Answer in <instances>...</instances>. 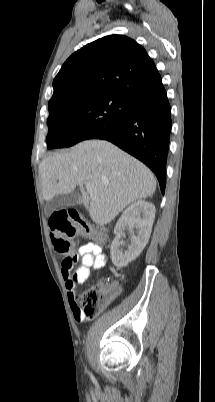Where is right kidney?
<instances>
[{
  "label": "right kidney",
  "instance_id": "obj_1",
  "mask_svg": "<svg viewBox=\"0 0 215 402\" xmlns=\"http://www.w3.org/2000/svg\"><path fill=\"white\" fill-rule=\"evenodd\" d=\"M154 218L155 206L144 200L134 202L123 212L114 228L115 238L110 248L111 259L115 266L126 267L141 254L149 241ZM126 228L135 229L136 235L132 233L131 244L123 250L120 248L123 245L121 238Z\"/></svg>",
  "mask_w": 215,
  "mask_h": 402
}]
</instances>
